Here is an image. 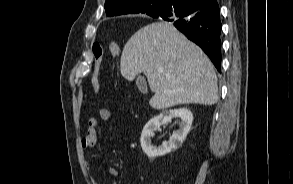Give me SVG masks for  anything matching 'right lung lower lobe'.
Wrapping results in <instances>:
<instances>
[{"mask_svg": "<svg viewBox=\"0 0 293 184\" xmlns=\"http://www.w3.org/2000/svg\"><path fill=\"white\" fill-rule=\"evenodd\" d=\"M172 22L185 36L200 46L217 70L221 66L220 10L217 2L203 6L193 0H180L154 18Z\"/></svg>", "mask_w": 293, "mask_h": 184, "instance_id": "right-lung-lower-lobe-1", "label": "right lung lower lobe"}]
</instances>
